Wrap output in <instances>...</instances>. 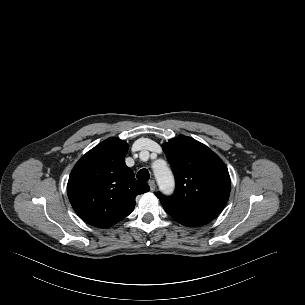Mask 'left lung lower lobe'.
I'll list each match as a JSON object with an SVG mask.
<instances>
[{
  "label": "left lung lower lobe",
  "instance_id": "1",
  "mask_svg": "<svg viewBox=\"0 0 305 305\" xmlns=\"http://www.w3.org/2000/svg\"><path fill=\"white\" fill-rule=\"evenodd\" d=\"M177 222L190 227H198L209 223L207 220H196V219H185V218H174Z\"/></svg>",
  "mask_w": 305,
  "mask_h": 305
}]
</instances>
